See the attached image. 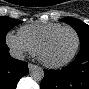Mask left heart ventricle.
I'll return each mask as SVG.
<instances>
[{"label": "left heart ventricle", "instance_id": "obj_1", "mask_svg": "<svg viewBox=\"0 0 89 89\" xmlns=\"http://www.w3.org/2000/svg\"><path fill=\"white\" fill-rule=\"evenodd\" d=\"M76 44L75 34L68 29L56 34L46 46L43 55L50 62H59L66 59Z\"/></svg>", "mask_w": 89, "mask_h": 89}]
</instances>
